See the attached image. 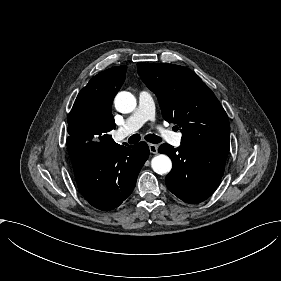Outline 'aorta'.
Listing matches in <instances>:
<instances>
[{
	"instance_id": "762f6f07",
	"label": "aorta",
	"mask_w": 281,
	"mask_h": 281,
	"mask_svg": "<svg viewBox=\"0 0 281 281\" xmlns=\"http://www.w3.org/2000/svg\"><path fill=\"white\" fill-rule=\"evenodd\" d=\"M136 107V98L127 91L119 92L115 97V108L120 113H130ZM152 169L158 174H167L172 169L171 159L164 154H159L151 160Z\"/></svg>"
}]
</instances>
